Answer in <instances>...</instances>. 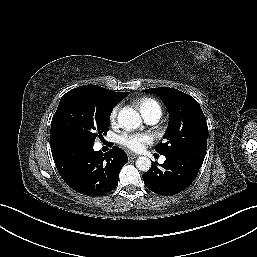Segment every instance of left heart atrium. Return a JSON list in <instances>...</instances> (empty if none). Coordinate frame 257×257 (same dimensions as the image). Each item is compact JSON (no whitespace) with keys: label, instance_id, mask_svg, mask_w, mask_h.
Listing matches in <instances>:
<instances>
[{"label":"left heart atrium","instance_id":"obj_1","mask_svg":"<svg viewBox=\"0 0 257 257\" xmlns=\"http://www.w3.org/2000/svg\"><path fill=\"white\" fill-rule=\"evenodd\" d=\"M152 140L153 137L148 133L125 132L119 137V143L133 151L142 150L147 144H150Z\"/></svg>","mask_w":257,"mask_h":257}]
</instances>
